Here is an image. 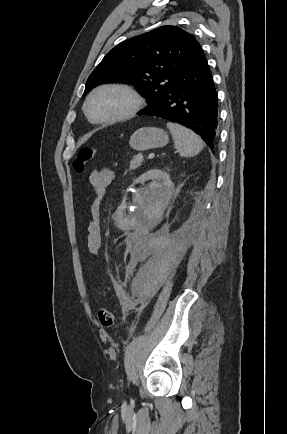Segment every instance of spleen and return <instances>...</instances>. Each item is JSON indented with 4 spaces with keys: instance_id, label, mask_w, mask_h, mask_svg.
<instances>
[{
    "instance_id": "spleen-1",
    "label": "spleen",
    "mask_w": 287,
    "mask_h": 434,
    "mask_svg": "<svg viewBox=\"0 0 287 434\" xmlns=\"http://www.w3.org/2000/svg\"><path fill=\"white\" fill-rule=\"evenodd\" d=\"M167 128L170 130L174 146L182 157H193L204 148L203 141L193 131L175 123L168 122Z\"/></svg>"
}]
</instances>
